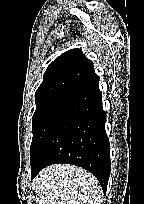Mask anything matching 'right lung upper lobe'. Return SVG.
Returning <instances> with one entry per match:
<instances>
[{
	"mask_svg": "<svg viewBox=\"0 0 144 204\" xmlns=\"http://www.w3.org/2000/svg\"><path fill=\"white\" fill-rule=\"evenodd\" d=\"M99 85L93 63L80 49H71L58 56L47 68L43 82L35 93V103L57 96L77 97Z\"/></svg>",
	"mask_w": 144,
	"mask_h": 204,
	"instance_id": "1",
	"label": "right lung upper lobe"
}]
</instances>
